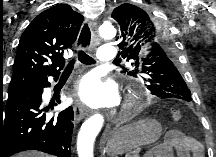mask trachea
Wrapping results in <instances>:
<instances>
[{
	"label": "trachea",
	"mask_w": 216,
	"mask_h": 157,
	"mask_svg": "<svg viewBox=\"0 0 216 157\" xmlns=\"http://www.w3.org/2000/svg\"><path fill=\"white\" fill-rule=\"evenodd\" d=\"M90 40V30L88 26L85 27V29L82 31V43L85 44L87 41ZM78 59L83 63V64H94L95 60L91 58L89 55H87L84 51L80 50L78 52ZM73 65H74V59L69 62L67 67L64 70V74H70L73 70Z\"/></svg>",
	"instance_id": "obj_1"
}]
</instances>
